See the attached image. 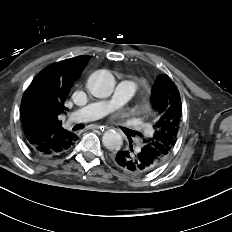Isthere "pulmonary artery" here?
Listing matches in <instances>:
<instances>
[{"label": "pulmonary artery", "instance_id": "1", "mask_svg": "<svg viewBox=\"0 0 232 232\" xmlns=\"http://www.w3.org/2000/svg\"><path fill=\"white\" fill-rule=\"evenodd\" d=\"M135 91L136 84L134 82L122 80L118 83L110 99L91 102L85 107L78 109L70 115L67 124L98 119L130 100Z\"/></svg>", "mask_w": 232, "mask_h": 232}]
</instances>
